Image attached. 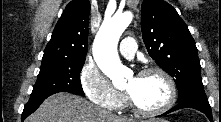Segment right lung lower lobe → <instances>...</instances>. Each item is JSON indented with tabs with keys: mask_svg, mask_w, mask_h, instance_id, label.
Wrapping results in <instances>:
<instances>
[{
	"mask_svg": "<svg viewBox=\"0 0 221 122\" xmlns=\"http://www.w3.org/2000/svg\"><path fill=\"white\" fill-rule=\"evenodd\" d=\"M52 94H54V93H50V94L43 95V96H38V97H35V98H30V100L28 101V103L24 107V110H23V113H22V116H21L22 121H24L27 116H29L31 113H33L40 106V104L47 97H49Z\"/></svg>",
	"mask_w": 221,
	"mask_h": 122,
	"instance_id": "obj_1",
	"label": "right lung lower lobe"
}]
</instances>
